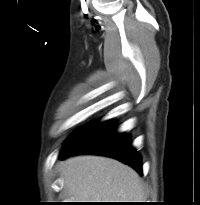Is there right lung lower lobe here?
I'll use <instances>...</instances> for the list:
<instances>
[{
	"label": "right lung lower lobe",
	"instance_id": "1",
	"mask_svg": "<svg viewBox=\"0 0 200 205\" xmlns=\"http://www.w3.org/2000/svg\"><path fill=\"white\" fill-rule=\"evenodd\" d=\"M77 154L112 157L142 174L141 158L132 148L130 136L116 133L109 122L95 123L85 129L63 147L59 159Z\"/></svg>",
	"mask_w": 200,
	"mask_h": 205
}]
</instances>
